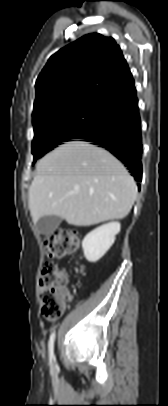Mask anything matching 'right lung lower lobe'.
Instances as JSON below:
<instances>
[{
  "label": "right lung lower lobe",
  "mask_w": 168,
  "mask_h": 406,
  "mask_svg": "<svg viewBox=\"0 0 168 406\" xmlns=\"http://www.w3.org/2000/svg\"><path fill=\"white\" fill-rule=\"evenodd\" d=\"M106 116L78 139L105 148L118 158L137 180H142L141 121L135 86L105 100Z\"/></svg>",
  "instance_id": "obj_1"
}]
</instances>
